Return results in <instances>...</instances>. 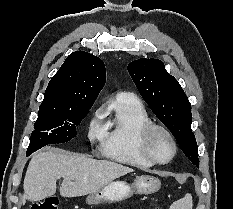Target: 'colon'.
<instances>
[{
  "mask_svg": "<svg viewBox=\"0 0 233 209\" xmlns=\"http://www.w3.org/2000/svg\"><path fill=\"white\" fill-rule=\"evenodd\" d=\"M30 209H58V201L55 198H47L33 204Z\"/></svg>",
  "mask_w": 233,
  "mask_h": 209,
  "instance_id": "colon-1",
  "label": "colon"
}]
</instances>
